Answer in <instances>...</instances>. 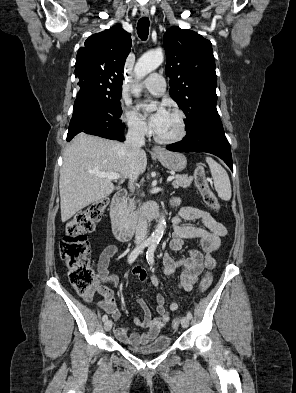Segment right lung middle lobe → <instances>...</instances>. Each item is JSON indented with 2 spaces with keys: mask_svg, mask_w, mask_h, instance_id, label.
<instances>
[{
  "mask_svg": "<svg viewBox=\"0 0 296 393\" xmlns=\"http://www.w3.org/2000/svg\"><path fill=\"white\" fill-rule=\"evenodd\" d=\"M78 85L80 86V94L92 99L102 107L108 109L114 116H121V89H116L103 81L94 78L79 80Z\"/></svg>",
  "mask_w": 296,
  "mask_h": 393,
  "instance_id": "right-lung-middle-lobe-1",
  "label": "right lung middle lobe"
}]
</instances>
